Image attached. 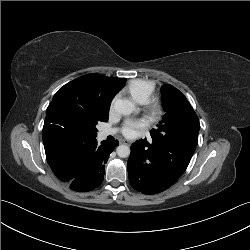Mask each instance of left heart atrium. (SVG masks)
I'll return each instance as SVG.
<instances>
[{"mask_svg": "<svg viewBox=\"0 0 250 250\" xmlns=\"http://www.w3.org/2000/svg\"><path fill=\"white\" fill-rule=\"evenodd\" d=\"M145 124L142 121H137V120H127L124 125L122 132L126 137H134L137 132L144 128Z\"/></svg>", "mask_w": 250, "mask_h": 250, "instance_id": "1", "label": "left heart atrium"}]
</instances>
